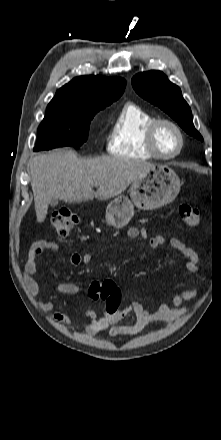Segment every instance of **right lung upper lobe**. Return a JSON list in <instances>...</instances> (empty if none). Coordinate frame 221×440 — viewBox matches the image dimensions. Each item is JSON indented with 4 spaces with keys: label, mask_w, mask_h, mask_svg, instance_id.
<instances>
[{
    "label": "right lung upper lobe",
    "mask_w": 221,
    "mask_h": 440,
    "mask_svg": "<svg viewBox=\"0 0 221 440\" xmlns=\"http://www.w3.org/2000/svg\"><path fill=\"white\" fill-rule=\"evenodd\" d=\"M123 78L100 75L81 76L60 88L49 104L70 107L108 106L124 92Z\"/></svg>",
    "instance_id": "right-lung-upper-lobe-1"
}]
</instances>
